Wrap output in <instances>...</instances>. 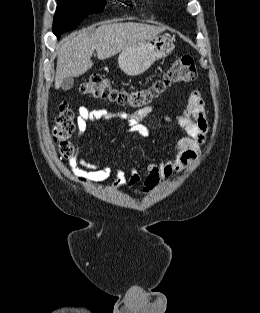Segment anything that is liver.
Returning <instances> with one entry per match:
<instances>
[{"mask_svg":"<svg viewBox=\"0 0 260 313\" xmlns=\"http://www.w3.org/2000/svg\"><path fill=\"white\" fill-rule=\"evenodd\" d=\"M165 30L164 27L126 22L94 25L72 34L61 41L58 50L55 89H59L67 77H79L92 66V54L96 50L99 60H104L129 46L151 39Z\"/></svg>","mask_w":260,"mask_h":313,"instance_id":"1","label":"liver"}]
</instances>
